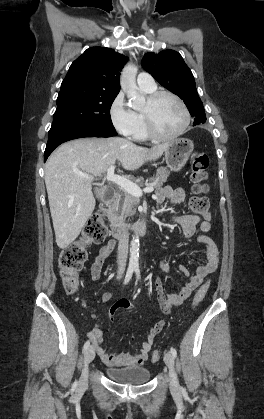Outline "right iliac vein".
Returning a JSON list of instances; mask_svg holds the SVG:
<instances>
[{
    "mask_svg": "<svg viewBox=\"0 0 264 419\" xmlns=\"http://www.w3.org/2000/svg\"><path fill=\"white\" fill-rule=\"evenodd\" d=\"M95 357V349L93 346H90L84 356V367L82 371V377H81V384L85 385L88 381V366L93 361Z\"/></svg>",
    "mask_w": 264,
    "mask_h": 419,
    "instance_id": "1",
    "label": "right iliac vein"
}]
</instances>
